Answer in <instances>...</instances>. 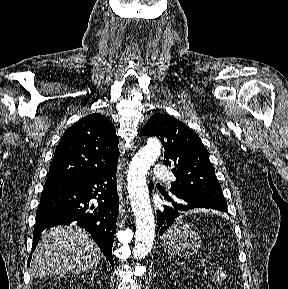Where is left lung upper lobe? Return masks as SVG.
Returning a JSON list of instances; mask_svg holds the SVG:
<instances>
[{"mask_svg": "<svg viewBox=\"0 0 288 289\" xmlns=\"http://www.w3.org/2000/svg\"><path fill=\"white\" fill-rule=\"evenodd\" d=\"M140 134L160 137L165 149L164 163L174 167L172 172L176 181L171 185L173 194L206 198L227 208L208 151L200 137L187 125L172 116L155 114Z\"/></svg>", "mask_w": 288, "mask_h": 289, "instance_id": "5c2ea615", "label": "left lung upper lobe"}]
</instances>
